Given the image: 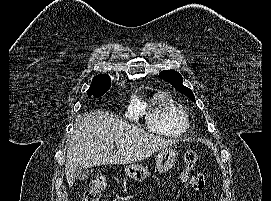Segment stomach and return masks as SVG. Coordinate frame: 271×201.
<instances>
[{
  "mask_svg": "<svg viewBox=\"0 0 271 201\" xmlns=\"http://www.w3.org/2000/svg\"><path fill=\"white\" fill-rule=\"evenodd\" d=\"M178 152L175 148L167 147L162 149L156 156V168L160 173L169 171L177 161ZM125 174L132 180L143 182L151 172L148 167L139 164H129L124 168Z\"/></svg>",
  "mask_w": 271,
  "mask_h": 201,
  "instance_id": "1",
  "label": "stomach"
}]
</instances>
